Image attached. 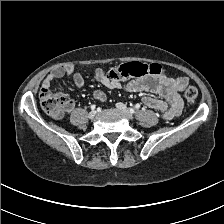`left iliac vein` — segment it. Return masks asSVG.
Masks as SVG:
<instances>
[{
	"label": "left iliac vein",
	"instance_id": "1",
	"mask_svg": "<svg viewBox=\"0 0 224 224\" xmlns=\"http://www.w3.org/2000/svg\"><path fill=\"white\" fill-rule=\"evenodd\" d=\"M116 108L121 111L129 120H132L134 118L132 113L123 103H117Z\"/></svg>",
	"mask_w": 224,
	"mask_h": 224
}]
</instances>
